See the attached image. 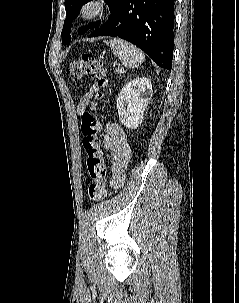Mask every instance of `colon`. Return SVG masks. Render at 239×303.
Here are the masks:
<instances>
[{
	"mask_svg": "<svg viewBox=\"0 0 239 303\" xmlns=\"http://www.w3.org/2000/svg\"><path fill=\"white\" fill-rule=\"evenodd\" d=\"M69 76L73 81H79L86 77L93 78L99 87L96 95L97 101L104 97V91L109 84L108 71L103 62L93 54L85 53L77 60L72 61ZM98 107V102H92L89 109L83 114L81 123L82 145L87 153V170L91 178L87 195L92 202L103 200L107 194V167L99 139L101 125L94 114Z\"/></svg>",
	"mask_w": 239,
	"mask_h": 303,
	"instance_id": "obj_1",
	"label": "colon"
}]
</instances>
